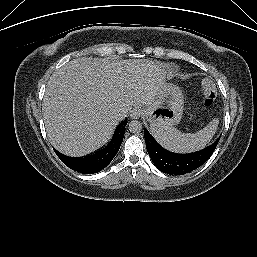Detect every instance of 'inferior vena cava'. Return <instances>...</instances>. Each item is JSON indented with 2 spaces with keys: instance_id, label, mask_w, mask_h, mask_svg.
<instances>
[{
  "instance_id": "602c4592",
  "label": "inferior vena cava",
  "mask_w": 257,
  "mask_h": 257,
  "mask_svg": "<svg viewBox=\"0 0 257 257\" xmlns=\"http://www.w3.org/2000/svg\"><path fill=\"white\" fill-rule=\"evenodd\" d=\"M127 116V113L125 111H121L117 114V118L119 120H123Z\"/></svg>"
}]
</instances>
